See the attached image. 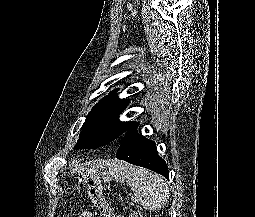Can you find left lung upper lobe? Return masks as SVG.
<instances>
[{
  "label": "left lung upper lobe",
  "mask_w": 255,
  "mask_h": 217,
  "mask_svg": "<svg viewBox=\"0 0 255 217\" xmlns=\"http://www.w3.org/2000/svg\"><path fill=\"white\" fill-rule=\"evenodd\" d=\"M116 91L113 90L92 108L82 126L75 149H95L112 141L121 140L134 123L119 120L129 100L118 98Z\"/></svg>",
  "instance_id": "1"
}]
</instances>
